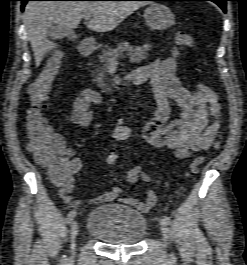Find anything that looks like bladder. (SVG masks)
<instances>
[{"instance_id":"1","label":"bladder","mask_w":247,"mask_h":265,"mask_svg":"<svg viewBox=\"0 0 247 265\" xmlns=\"http://www.w3.org/2000/svg\"><path fill=\"white\" fill-rule=\"evenodd\" d=\"M86 230L105 244L134 245L146 235V218L129 206L108 203L89 213Z\"/></svg>"}]
</instances>
